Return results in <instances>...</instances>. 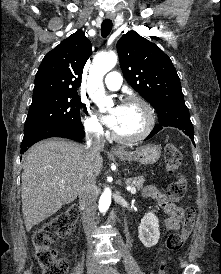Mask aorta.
I'll return each instance as SVG.
<instances>
[{
    "label": "aorta",
    "mask_w": 221,
    "mask_h": 274,
    "mask_svg": "<svg viewBox=\"0 0 221 274\" xmlns=\"http://www.w3.org/2000/svg\"><path fill=\"white\" fill-rule=\"evenodd\" d=\"M117 63V55L109 53L98 56L93 63L88 77V94L89 97L96 102L100 108L107 103V98L104 93L103 77ZM111 204V190L105 188L99 199V211L105 213Z\"/></svg>",
    "instance_id": "1"
}]
</instances>
